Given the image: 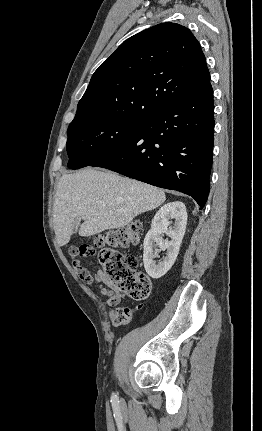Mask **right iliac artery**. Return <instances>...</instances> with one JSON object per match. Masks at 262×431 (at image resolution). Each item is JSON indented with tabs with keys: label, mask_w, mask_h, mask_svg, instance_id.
<instances>
[{
	"label": "right iliac artery",
	"mask_w": 262,
	"mask_h": 431,
	"mask_svg": "<svg viewBox=\"0 0 262 431\" xmlns=\"http://www.w3.org/2000/svg\"><path fill=\"white\" fill-rule=\"evenodd\" d=\"M112 399L117 400V396H116V395H113V396H112Z\"/></svg>",
	"instance_id": "82829eb1"
}]
</instances>
